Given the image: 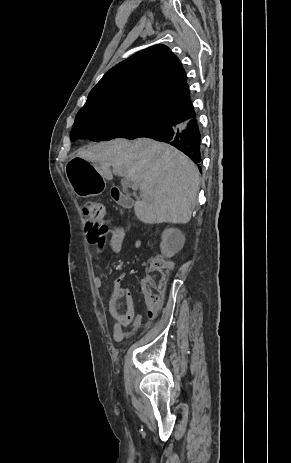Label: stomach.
<instances>
[{
	"label": "stomach",
	"instance_id": "stomach-1",
	"mask_svg": "<svg viewBox=\"0 0 291 463\" xmlns=\"http://www.w3.org/2000/svg\"><path fill=\"white\" fill-rule=\"evenodd\" d=\"M66 176L67 182L79 197L95 196L104 189L103 177L87 162L86 157H69Z\"/></svg>",
	"mask_w": 291,
	"mask_h": 463
}]
</instances>
